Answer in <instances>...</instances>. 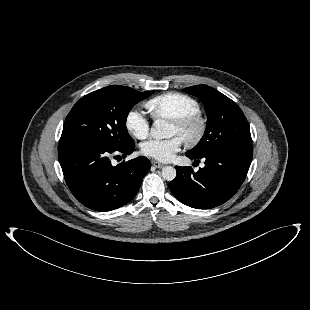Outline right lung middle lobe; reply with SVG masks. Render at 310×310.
Segmentation results:
<instances>
[{
	"label": "right lung middle lobe",
	"mask_w": 310,
	"mask_h": 310,
	"mask_svg": "<svg viewBox=\"0 0 310 310\" xmlns=\"http://www.w3.org/2000/svg\"><path fill=\"white\" fill-rule=\"evenodd\" d=\"M152 93L111 85L85 95L66 117L60 143L83 140L111 144L116 148L127 146L133 142L126 128L128 113Z\"/></svg>",
	"instance_id": "dd1d6c3e"
}]
</instances>
